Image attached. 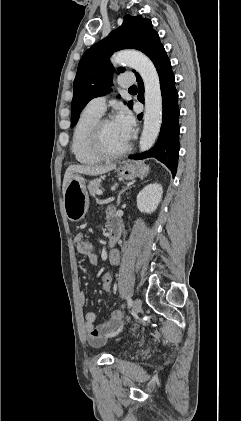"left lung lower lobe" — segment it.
I'll use <instances>...</instances> for the list:
<instances>
[{
	"label": "left lung lower lobe",
	"instance_id": "1",
	"mask_svg": "<svg viewBox=\"0 0 241 421\" xmlns=\"http://www.w3.org/2000/svg\"><path fill=\"white\" fill-rule=\"evenodd\" d=\"M145 54L153 61L157 72L159 74L160 86L162 92V126L159 138L155 146L149 151L130 156L129 158L135 160H142L149 157H154L163 162L172 172L175 177L178 153H179V132L178 124L179 107H178V93L175 89V79L171 68L170 60L167 57L165 49L160 42L158 34L152 39ZM137 82L139 87V101L143 102L144 85L138 73ZM142 118V114L138 115Z\"/></svg>",
	"mask_w": 241,
	"mask_h": 421
}]
</instances>
